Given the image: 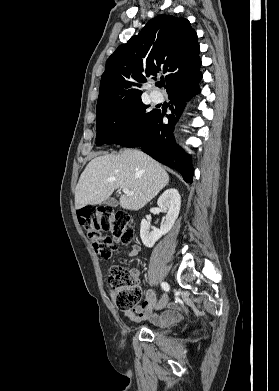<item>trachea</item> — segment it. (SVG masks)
Listing matches in <instances>:
<instances>
[{
    "instance_id": "obj_1",
    "label": "trachea",
    "mask_w": 279,
    "mask_h": 391,
    "mask_svg": "<svg viewBox=\"0 0 279 391\" xmlns=\"http://www.w3.org/2000/svg\"><path fill=\"white\" fill-rule=\"evenodd\" d=\"M165 85V82L158 83V87H163Z\"/></svg>"
}]
</instances>
